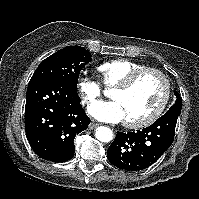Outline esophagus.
<instances>
[{
	"label": "esophagus",
	"instance_id": "obj_1",
	"mask_svg": "<svg viewBox=\"0 0 199 199\" xmlns=\"http://www.w3.org/2000/svg\"><path fill=\"white\" fill-rule=\"evenodd\" d=\"M98 125H99V124L96 123V122H91V123L89 124V128H90V129H94V128H96Z\"/></svg>",
	"mask_w": 199,
	"mask_h": 199
}]
</instances>
